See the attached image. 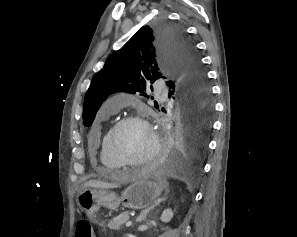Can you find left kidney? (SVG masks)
I'll return each instance as SVG.
<instances>
[{"label": "left kidney", "instance_id": "5707ae66", "mask_svg": "<svg viewBox=\"0 0 297 237\" xmlns=\"http://www.w3.org/2000/svg\"><path fill=\"white\" fill-rule=\"evenodd\" d=\"M172 218H173V211L171 209H166L163 211L160 219L162 222L168 223L171 221Z\"/></svg>", "mask_w": 297, "mask_h": 237}]
</instances>
